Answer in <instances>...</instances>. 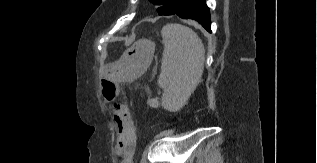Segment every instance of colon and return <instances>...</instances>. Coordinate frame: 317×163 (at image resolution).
Wrapping results in <instances>:
<instances>
[{"mask_svg":"<svg viewBox=\"0 0 317 163\" xmlns=\"http://www.w3.org/2000/svg\"><path fill=\"white\" fill-rule=\"evenodd\" d=\"M102 93L107 101H114L119 94L118 84L112 80H105L102 83Z\"/></svg>","mask_w":317,"mask_h":163,"instance_id":"obj_1","label":"colon"}]
</instances>
